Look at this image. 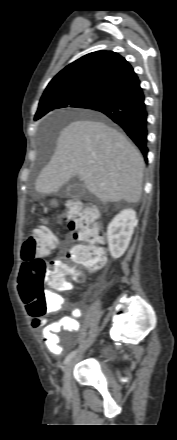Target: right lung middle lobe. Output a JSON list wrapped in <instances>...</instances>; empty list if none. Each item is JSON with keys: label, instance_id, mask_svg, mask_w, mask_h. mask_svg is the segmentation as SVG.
<instances>
[{"label": "right lung middle lobe", "instance_id": "right-lung-middle-lobe-1", "mask_svg": "<svg viewBox=\"0 0 177 440\" xmlns=\"http://www.w3.org/2000/svg\"><path fill=\"white\" fill-rule=\"evenodd\" d=\"M100 97L101 96L99 94L86 92L67 91L57 93L39 103V107L35 115V120H38L48 112L59 108H86L88 105L92 104Z\"/></svg>", "mask_w": 177, "mask_h": 440}]
</instances>
